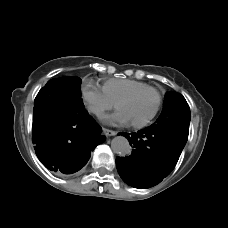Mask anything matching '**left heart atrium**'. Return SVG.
Listing matches in <instances>:
<instances>
[{"label":"left heart atrium","mask_w":228,"mask_h":228,"mask_svg":"<svg viewBox=\"0 0 228 228\" xmlns=\"http://www.w3.org/2000/svg\"><path fill=\"white\" fill-rule=\"evenodd\" d=\"M116 119L121 123H127L129 120L123 112H119L116 114Z\"/></svg>","instance_id":"1"}]
</instances>
